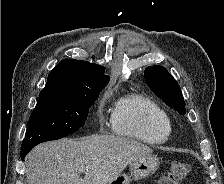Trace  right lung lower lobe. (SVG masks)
Masks as SVG:
<instances>
[{"mask_svg":"<svg viewBox=\"0 0 224 184\" xmlns=\"http://www.w3.org/2000/svg\"><path fill=\"white\" fill-rule=\"evenodd\" d=\"M33 147H26V148H21V159L24 160L25 156L31 151Z\"/></svg>","mask_w":224,"mask_h":184,"instance_id":"obj_1","label":"right lung lower lobe"}]
</instances>
